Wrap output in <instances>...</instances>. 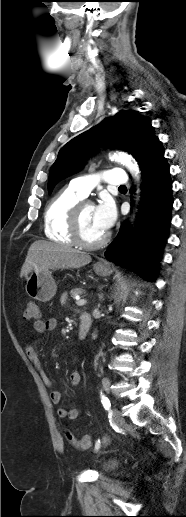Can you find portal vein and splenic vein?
I'll use <instances>...</instances> for the list:
<instances>
[{"label": "portal vein and splenic vein", "mask_w": 186, "mask_h": 517, "mask_svg": "<svg viewBox=\"0 0 186 517\" xmlns=\"http://www.w3.org/2000/svg\"><path fill=\"white\" fill-rule=\"evenodd\" d=\"M76 304L81 306L86 304V300L77 298Z\"/></svg>", "instance_id": "1"}]
</instances>
